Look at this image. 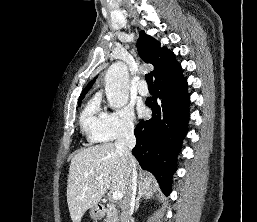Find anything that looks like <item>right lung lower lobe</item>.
Wrapping results in <instances>:
<instances>
[{
	"instance_id": "obj_1",
	"label": "right lung lower lobe",
	"mask_w": 257,
	"mask_h": 222,
	"mask_svg": "<svg viewBox=\"0 0 257 222\" xmlns=\"http://www.w3.org/2000/svg\"><path fill=\"white\" fill-rule=\"evenodd\" d=\"M146 105L153 115L136 126L137 142L132 153L169 195L177 154L188 132L189 94L182 71L156 79L154 96L147 99Z\"/></svg>"
}]
</instances>
